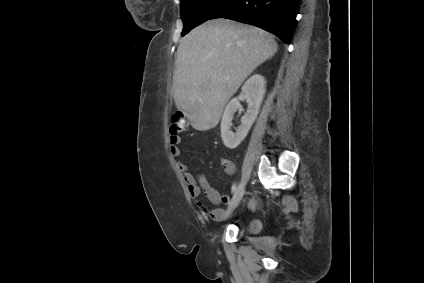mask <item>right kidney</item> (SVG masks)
<instances>
[{"mask_svg": "<svg viewBox=\"0 0 424 283\" xmlns=\"http://www.w3.org/2000/svg\"><path fill=\"white\" fill-rule=\"evenodd\" d=\"M243 98L248 103V109L245 115L241 118V125L236 133L230 129L234 113L240 107L238 98L232 99L225 107L221 121V137L224 145L229 149H234L247 136L251 126L257 119L259 110L266 92V81L259 74L252 75L243 85Z\"/></svg>", "mask_w": 424, "mask_h": 283, "instance_id": "obj_1", "label": "right kidney"}]
</instances>
